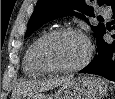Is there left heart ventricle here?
I'll use <instances>...</instances> for the list:
<instances>
[{
    "instance_id": "left-heart-ventricle-1",
    "label": "left heart ventricle",
    "mask_w": 115,
    "mask_h": 99,
    "mask_svg": "<svg viewBox=\"0 0 115 99\" xmlns=\"http://www.w3.org/2000/svg\"><path fill=\"white\" fill-rule=\"evenodd\" d=\"M87 52L85 41L73 34L51 39L45 46L47 59L57 66H73L81 62Z\"/></svg>"
}]
</instances>
